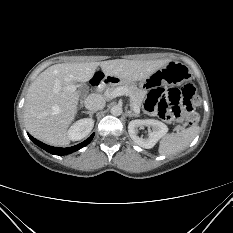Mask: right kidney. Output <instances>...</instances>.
Returning <instances> with one entry per match:
<instances>
[{
	"label": "right kidney",
	"mask_w": 233,
	"mask_h": 233,
	"mask_svg": "<svg viewBox=\"0 0 233 233\" xmlns=\"http://www.w3.org/2000/svg\"><path fill=\"white\" fill-rule=\"evenodd\" d=\"M94 126L92 118H84L76 121L68 130L67 136L72 141H78L86 137Z\"/></svg>",
	"instance_id": "right-kidney-1"
}]
</instances>
